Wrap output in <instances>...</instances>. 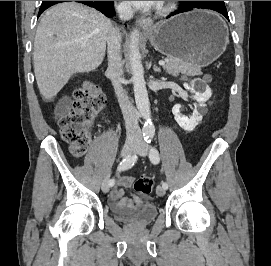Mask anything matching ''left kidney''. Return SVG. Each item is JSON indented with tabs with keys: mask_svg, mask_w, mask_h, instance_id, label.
<instances>
[{
	"mask_svg": "<svg viewBox=\"0 0 271 266\" xmlns=\"http://www.w3.org/2000/svg\"><path fill=\"white\" fill-rule=\"evenodd\" d=\"M190 90L193 92V89L190 88ZM211 97V90L209 88H206V90L202 93L195 92V95L193 98L199 103V106H205V102ZM180 105L176 104L172 108V113L174 115V119L178 123V125L185 131L191 132L195 129V127L202 121V115L198 111L197 107L194 109L192 115L190 118L183 116L180 113Z\"/></svg>",
	"mask_w": 271,
	"mask_h": 266,
	"instance_id": "left-kidney-1",
	"label": "left kidney"
}]
</instances>
